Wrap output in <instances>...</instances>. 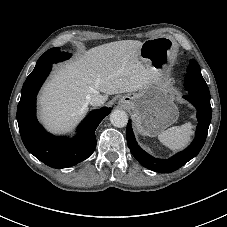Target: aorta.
I'll return each mask as SVG.
<instances>
[{"label": "aorta", "instance_id": "1", "mask_svg": "<svg viewBox=\"0 0 227 227\" xmlns=\"http://www.w3.org/2000/svg\"><path fill=\"white\" fill-rule=\"evenodd\" d=\"M110 121L113 126L122 128L128 123V115L124 110L116 109L110 114Z\"/></svg>", "mask_w": 227, "mask_h": 227}]
</instances>
